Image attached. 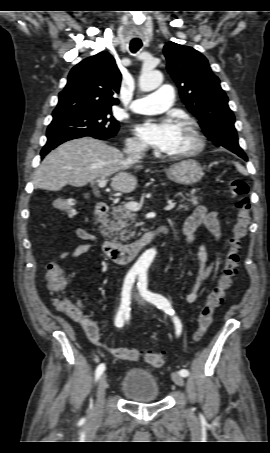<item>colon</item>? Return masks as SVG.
Instances as JSON below:
<instances>
[{
    "mask_svg": "<svg viewBox=\"0 0 270 453\" xmlns=\"http://www.w3.org/2000/svg\"><path fill=\"white\" fill-rule=\"evenodd\" d=\"M229 190L237 199L236 201V220L233 227V235L229 241L228 251L224 265L216 284L209 291L206 301L198 315V327L195 332V339L200 340L213 321L215 310L223 303L227 290L232 284V279L237 272L240 262V250L242 240L246 237L251 223V201L249 198V187L247 182L241 178H233L229 181ZM56 210L74 217L78 213L76 201L67 198H57L53 202ZM45 281L48 288L54 292H59L65 284V273L63 268L56 262L51 261L46 267ZM57 308L69 315L71 318H79L81 312L77 302L68 299L57 301ZM145 362L153 367H162L164 364L163 355L151 351H140Z\"/></svg>",
    "mask_w": 270,
    "mask_h": 453,
    "instance_id": "1",
    "label": "colon"
}]
</instances>
